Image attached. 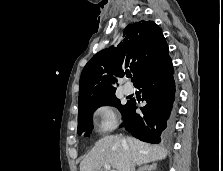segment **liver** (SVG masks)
Segmentation results:
<instances>
[{"instance_id": "liver-1", "label": "liver", "mask_w": 223, "mask_h": 171, "mask_svg": "<svg viewBox=\"0 0 223 171\" xmlns=\"http://www.w3.org/2000/svg\"><path fill=\"white\" fill-rule=\"evenodd\" d=\"M128 152L134 165L162 160L167 156V150L161 146L150 145L132 137L123 142L121 136L110 135L96 142L80 163V171H102L105 164L116 171H125Z\"/></svg>"}]
</instances>
